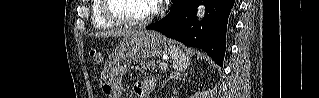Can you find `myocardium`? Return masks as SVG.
Wrapping results in <instances>:
<instances>
[{
  "label": "myocardium",
  "mask_w": 319,
  "mask_h": 98,
  "mask_svg": "<svg viewBox=\"0 0 319 98\" xmlns=\"http://www.w3.org/2000/svg\"><path fill=\"white\" fill-rule=\"evenodd\" d=\"M112 0H103V8L102 12L106 20L111 22L113 25L121 26V27H127V28H140L147 23H149L158 13V7L153 3L152 11L144 18L140 20H128L120 18L116 15H114L110 11V2Z\"/></svg>",
  "instance_id": "1"
}]
</instances>
